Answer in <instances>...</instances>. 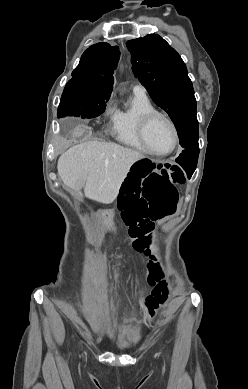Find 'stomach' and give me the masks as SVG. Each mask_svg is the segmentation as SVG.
<instances>
[{
    "instance_id": "1",
    "label": "stomach",
    "mask_w": 248,
    "mask_h": 389,
    "mask_svg": "<svg viewBox=\"0 0 248 389\" xmlns=\"http://www.w3.org/2000/svg\"><path fill=\"white\" fill-rule=\"evenodd\" d=\"M101 212L102 213H111L112 212V209L111 208H102L101 209ZM108 216H109V218L107 219L108 221H110L111 220V217H112V215H110V214H108ZM104 218L106 217L105 215L103 216ZM104 233L105 234H117L118 233V230L117 229H105L104 230Z\"/></svg>"
}]
</instances>
